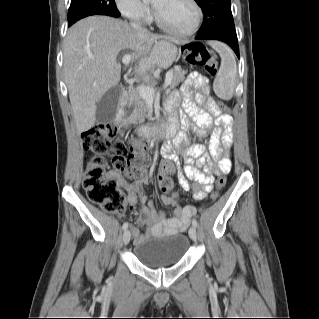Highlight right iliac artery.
<instances>
[{"instance_id": "obj_1", "label": "right iliac artery", "mask_w": 319, "mask_h": 319, "mask_svg": "<svg viewBox=\"0 0 319 319\" xmlns=\"http://www.w3.org/2000/svg\"><path fill=\"white\" fill-rule=\"evenodd\" d=\"M123 230H126L128 228V224L127 223H124L123 226H122Z\"/></svg>"}]
</instances>
